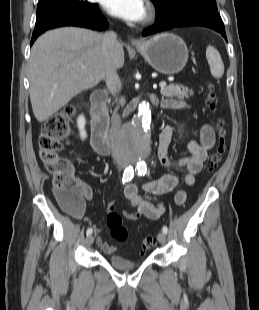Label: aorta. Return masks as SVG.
Returning <instances> with one entry per match:
<instances>
[{
    "instance_id": "obj_1",
    "label": "aorta",
    "mask_w": 259,
    "mask_h": 310,
    "mask_svg": "<svg viewBox=\"0 0 259 310\" xmlns=\"http://www.w3.org/2000/svg\"><path fill=\"white\" fill-rule=\"evenodd\" d=\"M151 109L147 102H141L134 118L127 123L117 139L118 148L132 160H142L150 152Z\"/></svg>"
}]
</instances>
